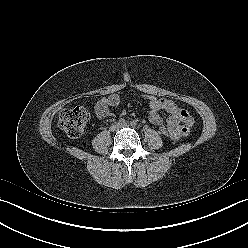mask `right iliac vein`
Returning <instances> with one entry per match:
<instances>
[{"label": "right iliac vein", "instance_id": "63e3f726", "mask_svg": "<svg viewBox=\"0 0 248 248\" xmlns=\"http://www.w3.org/2000/svg\"><path fill=\"white\" fill-rule=\"evenodd\" d=\"M119 128H120V124L119 123H115V124H113L111 126V130L112 131H117V130H119Z\"/></svg>", "mask_w": 248, "mask_h": 248}]
</instances>
